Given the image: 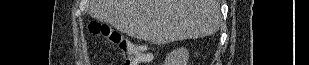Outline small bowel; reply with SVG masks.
<instances>
[{
	"mask_svg": "<svg viewBox=\"0 0 309 65\" xmlns=\"http://www.w3.org/2000/svg\"><path fill=\"white\" fill-rule=\"evenodd\" d=\"M148 59H149V56L147 55V56H146V61H147ZM146 61H145V62H146Z\"/></svg>",
	"mask_w": 309,
	"mask_h": 65,
	"instance_id": "c3829d8e",
	"label": "small bowel"
}]
</instances>
